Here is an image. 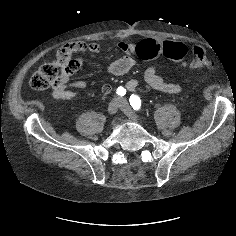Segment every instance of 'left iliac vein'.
I'll return each instance as SVG.
<instances>
[{
  "label": "left iliac vein",
  "mask_w": 236,
  "mask_h": 236,
  "mask_svg": "<svg viewBox=\"0 0 236 236\" xmlns=\"http://www.w3.org/2000/svg\"><path fill=\"white\" fill-rule=\"evenodd\" d=\"M120 109L126 114V116L134 122H140L139 117L132 111L131 107L125 99L120 100Z\"/></svg>",
  "instance_id": "obj_1"
}]
</instances>
